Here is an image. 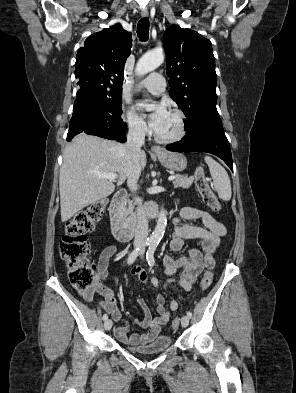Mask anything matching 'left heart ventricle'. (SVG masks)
I'll return each instance as SVG.
<instances>
[{
	"label": "left heart ventricle",
	"instance_id": "obj_1",
	"mask_svg": "<svg viewBox=\"0 0 296 393\" xmlns=\"http://www.w3.org/2000/svg\"><path fill=\"white\" fill-rule=\"evenodd\" d=\"M178 131V119L175 115L169 113L161 127L156 131L161 137H171Z\"/></svg>",
	"mask_w": 296,
	"mask_h": 393
}]
</instances>
